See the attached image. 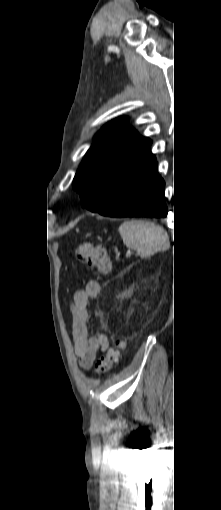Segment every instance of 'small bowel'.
<instances>
[{"mask_svg": "<svg viewBox=\"0 0 221 510\" xmlns=\"http://www.w3.org/2000/svg\"><path fill=\"white\" fill-rule=\"evenodd\" d=\"M100 284L89 279L84 289L77 291L71 304L72 332L74 337L75 354L82 368L92 367L98 353L110 347V341L105 334L89 335L88 302L100 294Z\"/></svg>", "mask_w": 221, "mask_h": 510, "instance_id": "small-bowel-1", "label": "small bowel"}]
</instances>
